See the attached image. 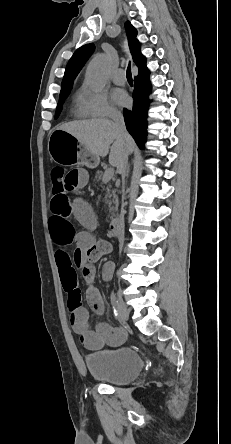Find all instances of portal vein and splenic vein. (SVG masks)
I'll return each mask as SVG.
<instances>
[{
    "instance_id": "obj_1",
    "label": "portal vein and splenic vein",
    "mask_w": 231,
    "mask_h": 444,
    "mask_svg": "<svg viewBox=\"0 0 231 444\" xmlns=\"http://www.w3.org/2000/svg\"><path fill=\"white\" fill-rule=\"evenodd\" d=\"M113 175H114V168L110 167L106 169L102 178V182L103 183L109 182L112 179Z\"/></svg>"
}]
</instances>
